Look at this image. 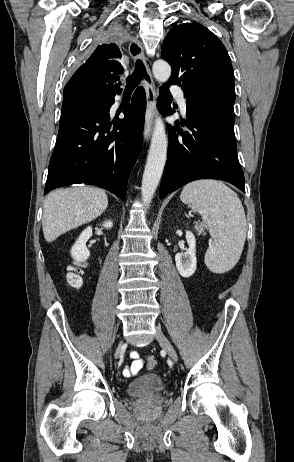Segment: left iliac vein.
Masks as SVG:
<instances>
[{"label":"left iliac vein","mask_w":294,"mask_h":462,"mask_svg":"<svg viewBox=\"0 0 294 462\" xmlns=\"http://www.w3.org/2000/svg\"><path fill=\"white\" fill-rule=\"evenodd\" d=\"M156 340L159 342V344L163 347V349L166 351L168 356L173 360L177 361L178 356L177 353L172 346V344L169 342V340L166 338V336L163 334L161 329L159 327H156V334H155Z\"/></svg>","instance_id":"left-iliac-vein-1"}]
</instances>
